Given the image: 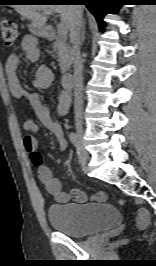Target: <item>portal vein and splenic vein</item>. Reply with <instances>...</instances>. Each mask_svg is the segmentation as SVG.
<instances>
[{"label":"portal vein and splenic vein","instance_id":"portal-vein-and-splenic-vein-1","mask_svg":"<svg viewBox=\"0 0 156 266\" xmlns=\"http://www.w3.org/2000/svg\"><path fill=\"white\" fill-rule=\"evenodd\" d=\"M58 33L62 36H65L67 33V28L63 23L57 25Z\"/></svg>","mask_w":156,"mask_h":266}]
</instances>
